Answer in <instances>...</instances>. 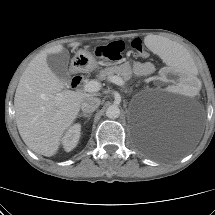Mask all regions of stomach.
Masks as SVG:
<instances>
[{"label": "stomach", "mask_w": 215, "mask_h": 215, "mask_svg": "<svg viewBox=\"0 0 215 215\" xmlns=\"http://www.w3.org/2000/svg\"><path fill=\"white\" fill-rule=\"evenodd\" d=\"M97 66L96 58L86 50H79L72 59V67L76 71H92Z\"/></svg>", "instance_id": "stomach-1"}]
</instances>
